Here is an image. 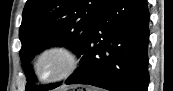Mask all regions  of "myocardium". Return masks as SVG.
I'll return each mask as SVG.
<instances>
[{"label":"myocardium","instance_id":"1","mask_svg":"<svg viewBox=\"0 0 173 91\" xmlns=\"http://www.w3.org/2000/svg\"><path fill=\"white\" fill-rule=\"evenodd\" d=\"M55 58L59 65L57 69L45 74L43 64L46 59ZM80 64L77 51L71 46L63 43H53L44 47L36 56L34 61V74L36 78L44 84H52L65 80L71 76Z\"/></svg>","mask_w":173,"mask_h":91}]
</instances>
